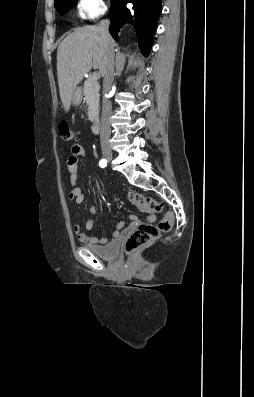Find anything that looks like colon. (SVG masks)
<instances>
[{
  "instance_id": "obj_1",
  "label": "colon",
  "mask_w": 254,
  "mask_h": 397,
  "mask_svg": "<svg viewBox=\"0 0 254 397\" xmlns=\"http://www.w3.org/2000/svg\"><path fill=\"white\" fill-rule=\"evenodd\" d=\"M59 134L63 140L70 141L74 139V134L65 121L59 123ZM128 197L130 202L143 212H162V205L149 196L137 192H131ZM172 225L173 214L170 212L165 213L164 217L156 225L148 223L139 225L126 238L124 244L125 253L131 254L138 249L154 242L161 234L169 232L172 228Z\"/></svg>"
}]
</instances>
